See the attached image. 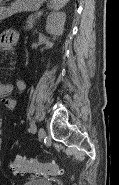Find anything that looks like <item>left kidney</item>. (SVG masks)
<instances>
[{
	"label": "left kidney",
	"mask_w": 119,
	"mask_h": 185,
	"mask_svg": "<svg viewBox=\"0 0 119 185\" xmlns=\"http://www.w3.org/2000/svg\"><path fill=\"white\" fill-rule=\"evenodd\" d=\"M66 14L64 12H51L46 21V31L53 36H61L64 31Z\"/></svg>",
	"instance_id": "left-kidney-1"
}]
</instances>
